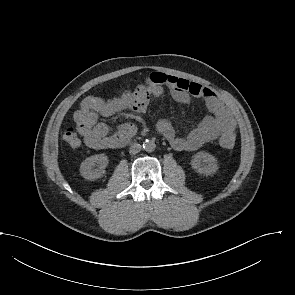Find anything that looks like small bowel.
Returning a JSON list of instances; mask_svg holds the SVG:
<instances>
[{
    "label": "small bowel",
    "mask_w": 295,
    "mask_h": 295,
    "mask_svg": "<svg viewBox=\"0 0 295 295\" xmlns=\"http://www.w3.org/2000/svg\"><path fill=\"white\" fill-rule=\"evenodd\" d=\"M164 86L170 89L177 102L188 103L191 97L203 99L211 113L185 136L178 135L169 121L160 120L157 130L174 150L194 151L218 138L227 127L235 129L236 123L231 113L210 88L183 78L154 72L144 83L132 90L125 89L112 98L88 96L82 100L80 108L74 114V121L85 145L102 150L119 147L122 141L129 140L136 133L134 124L124 123L114 134H109L107 125L99 122V116L110 117L124 110L144 113L150 100L163 94Z\"/></svg>",
    "instance_id": "obj_1"
}]
</instances>
